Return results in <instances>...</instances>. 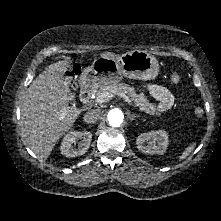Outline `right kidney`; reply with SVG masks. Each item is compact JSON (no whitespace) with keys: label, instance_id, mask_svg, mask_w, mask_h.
<instances>
[{"label":"right kidney","instance_id":"1","mask_svg":"<svg viewBox=\"0 0 221 221\" xmlns=\"http://www.w3.org/2000/svg\"><path fill=\"white\" fill-rule=\"evenodd\" d=\"M78 140H81L78 142ZM92 140V134L88 131L69 132L62 140L61 154L66 157H76L87 152ZM78 142V148H73L72 144Z\"/></svg>","mask_w":221,"mask_h":221}]
</instances>
